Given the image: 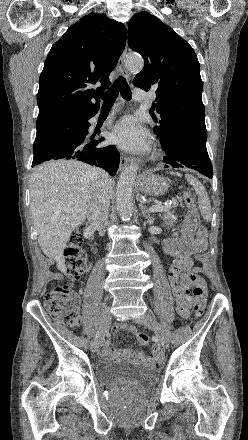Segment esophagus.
Returning <instances> with one entry per match:
<instances>
[{
    "mask_svg": "<svg viewBox=\"0 0 248 440\" xmlns=\"http://www.w3.org/2000/svg\"><path fill=\"white\" fill-rule=\"evenodd\" d=\"M126 56H127V47H125L122 55L120 56V58L118 60V68H119V71L121 72V74L123 76H125L127 79H129L130 78V74H129L128 70L126 69V66H125V58H126ZM128 163H129V158L126 155H124L123 153H121V155H120L119 170L120 171L123 170L124 167Z\"/></svg>",
    "mask_w": 248,
    "mask_h": 440,
    "instance_id": "obj_1",
    "label": "esophagus"
}]
</instances>
